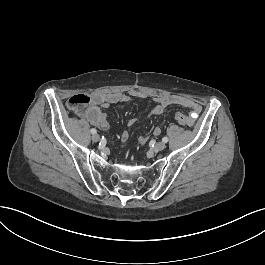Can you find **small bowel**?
Masks as SVG:
<instances>
[{"mask_svg":"<svg viewBox=\"0 0 265 265\" xmlns=\"http://www.w3.org/2000/svg\"><path fill=\"white\" fill-rule=\"evenodd\" d=\"M147 97L148 95L146 93L137 91L131 93H125L122 91L97 93L94 96L93 103L78 110L77 114L90 124L96 127L104 128L107 125V118L104 109L110 107L111 105L129 102L135 98L146 99ZM152 99L155 102V106L152 110V114L154 115L163 114L167 107L171 105H179L188 109L189 113H187V115L189 117V122L187 126H193L202 111V107L198 102L179 95H157ZM131 125H133V121L129 122V126ZM160 132L161 129L159 127H156L153 130V134L156 136L159 135ZM120 137L123 142H126L128 141L130 134L127 130H124L122 131ZM145 142L146 137H141L138 140L137 145L143 146Z\"/></svg>","mask_w":265,"mask_h":265,"instance_id":"c3829d8e","label":"small bowel"}]
</instances>
